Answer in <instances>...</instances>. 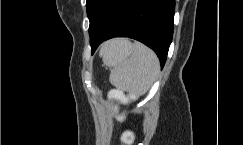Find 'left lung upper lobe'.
Here are the masks:
<instances>
[{
  "label": "left lung upper lobe",
  "instance_id": "obj_1",
  "mask_svg": "<svg viewBox=\"0 0 243 145\" xmlns=\"http://www.w3.org/2000/svg\"><path fill=\"white\" fill-rule=\"evenodd\" d=\"M128 0H87L90 25L107 30Z\"/></svg>",
  "mask_w": 243,
  "mask_h": 145
}]
</instances>
